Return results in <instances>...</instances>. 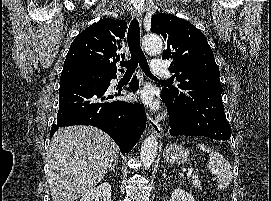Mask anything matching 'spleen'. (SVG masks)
Returning a JSON list of instances; mask_svg holds the SVG:
<instances>
[{
	"label": "spleen",
	"mask_w": 271,
	"mask_h": 201,
	"mask_svg": "<svg viewBox=\"0 0 271 201\" xmlns=\"http://www.w3.org/2000/svg\"><path fill=\"white\" fill-rule=\"evenodd\" d=\"M200 150L209 154V160L206 164L207 168L218 178V189H226L233 179L231 164L218 152L211 150L204 144L197 145Z\"/></svg>",
	"instance_id": "obj_1"
}]
</instances>
